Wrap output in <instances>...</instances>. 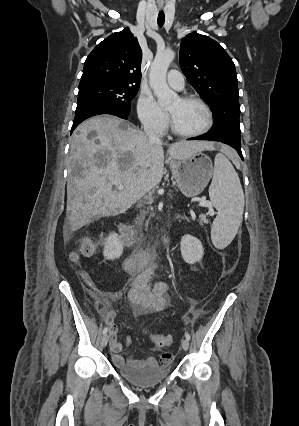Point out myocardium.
Masks as SVG:
<instances>
[{"label": "myocardium", "mask_w": 299, "mask_h": 426, "mask_svg": "<svg viewBox=\"0 0 299 426\" xmlns=\"http://www.w3.org/2000/svg\"><path fill=\"white\" fill-rule=\"evenodd\" d=\"M179 99L181 101H184V102H195V103L199 104L206 114V123H205L204 127L201 128L200 130H197V131H194V132H184V131L179 130L176 127L171 115H169V122H170L171 131L175 135H177L179 137H184V138H194V137H198V136H201V135L207 133L211 129V127L213 126V122H214L213 113H212V110L209 107V105L202 98L195 96V95H183V96L179 97Z\"/></svg>", "instance_id": "obj_1"}]
</instances>
